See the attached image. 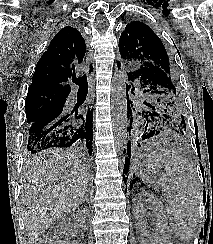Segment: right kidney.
Instances as JSON below:
<instances>
[{
    "mask_svg": "<svg viewBox=\"0 0 213 244\" xmlns=\"http://www.w3.org/2000/svg\"><path fill=\"white\" fill-rule=\"evenodd\" d=\"M74 221L79 223L80 226L86 227V213L83 211L82 213H77L73 217Z\"/></svg>",
    "mask_w": 213,
    "mask_h": 244,
    "instance_id": "right-kidney-1",
    "label": "right kidney"
}]
</instances>
